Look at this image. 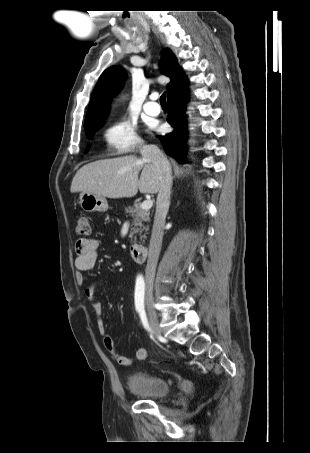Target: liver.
Listing matches in <instances>:
<instances>
[{
    "label": "liver",
    "instance_id": "1",
    "mask_svg": "<svg viewBox=\"0 0 310 453\" xmlns=\"http://www.w3.org/2000/svg\"><path fill=\"white\" fill-rule=\"evenodd\" d=\"M160 177V171L151 162L129 155L84 165L76 172L70 191L112 199L131 198L138 191L156 194Z\"/></svg>",
    "mask_w": 310,
    "mask_h": 453
}]
</instances>
